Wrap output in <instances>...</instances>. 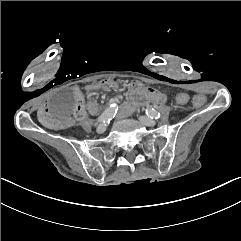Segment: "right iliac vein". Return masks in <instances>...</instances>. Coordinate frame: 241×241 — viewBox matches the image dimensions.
<instances>
[{
    "label": "right iliac vein",
    "instance_id": "right-iliac-vein-1",
    "mask_svg": "<svg viewBox=\"0 0 241 241\" xmlns=\"http://www.w3.org/2000/svg\"><path fill=\"white\" fill-rule=\"evenodd\" d=\"M106 129H107V125L101 123L98 125L96 131H97V133L101 134V133L105 132Z\"/></svg>",
    "mask_w": 241,
    "mask_h": 241
}]
</instances>
